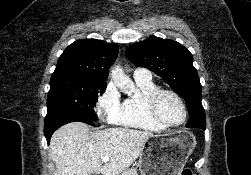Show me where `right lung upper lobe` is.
<instances>
[{"label": "right lung upper lobe", "mask_w": 251, "mask_h": 175, "mask_svg": "<svg viewBox=\"0 0 251 175\" xmlns=\"http://www.w3.org/2000/svg\"><path fill=\"white\" fill-rule=\"evenodd\" d=\"M118 47L97 39H81L69 45L60 56L51 79L106 86Z\"/></svg>", "instance_id": "obj_1"}]
</instances>
